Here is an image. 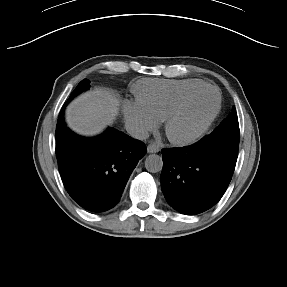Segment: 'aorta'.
<instances>
[{"mask_svg":"<svg viewBox=\"0 0 287 287\" xmlns=\"http://www.w3.org/2000/svg\"><path fill=\"white\" fill-rule=\"evenodd\" d=\"M145 168L148 172L157 173L163 168L162 157L157 154H150L146 157Z\"/></svg>","mask_w":287,"mask_h":287,"instance_id":"762f6f07","label":"aorta"}]
</instances>
